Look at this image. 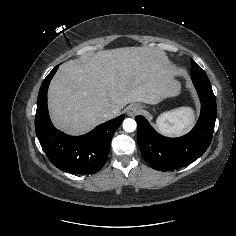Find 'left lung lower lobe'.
Instances as JSON below:
<instances>
[{
  "mask_svg": "<svg viewBox=\"0 0 236 236\" xmlns=\"http://www.w3.org/2000/svg\"><path fill=\"white\" fill-rule=\"evenodd\" d=\"M201 102L195 127L179 138L158 134L143 116H136L138 145L143 158L159 171L179 169L194 162L210 145L216 120V99L207 75H191Z\"/></svg>",
  "mask_w": 236,
  "mask_h": 236,
  "instance_id": "obj_1",
  "label": "left lung lower lobe"
}]
</instances>
